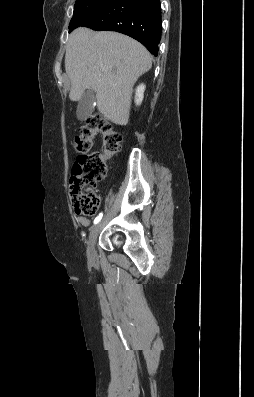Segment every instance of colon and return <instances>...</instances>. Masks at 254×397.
<instances>
[{
  "mask_svg": "<svg viewBox=\"0 0 254 397\" xmlns=\"http://www.w3.org/2000/svg\"><path fill=\"white\" fill-rule=\"evenodd\" d=\"M96 135L102 136V148L90 151ZM121 142V134L100 114L90 116L80 127L74 138L78 156L70 177V194L77 214L92 216L97 212L100 204L97 184L105 178L108 161L119 152Z\"/></svg>",
  "mask_w": 254,
  "mask_h": 397,
  "instance_id": "1",
  "label": "colon"
}]
</instances>
